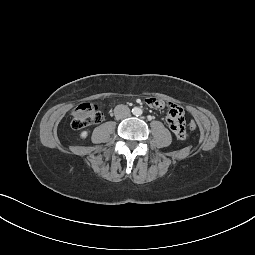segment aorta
I'll return each mask as SVG.
<instances>
[{
    "instance_id": "1",
    "label": "aorta",
    "mask_w": 255,
    "mask_h": 255,
    "mask_svg": "<svg viewBox=\"0 0 255 255\" xmlns=\"http://www.w3.org/2000/svg\"><path fill=\"white\" fill-rule=\"evenodd\" d=\"M133 114L136 115V116H139L142 114V110L138 107H134L133 110H132Z\"/></svg>"
}]
</instances>
